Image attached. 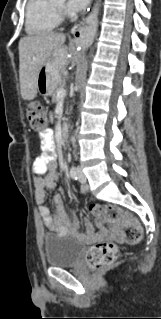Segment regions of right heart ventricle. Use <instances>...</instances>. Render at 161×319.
I'll list each match as a JSON object with an SVG mask.
<instances>
[{"label":"right heart ventricle","mask_w":161,"mask_h":319,"mask_svg":"<svg viewBox=\"0 0 161 319\" xmlns=\"http://www.w3.org/2000/svg\"><path fill=\"white\" fill-rule=\"evenodd\" d=\"M60 22V15L53 0H29L26 5V31L39 36L53 31Z\"/></svg>","instance_id":"obj_1"}]
</instances>
